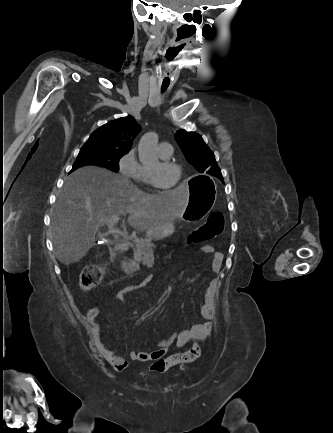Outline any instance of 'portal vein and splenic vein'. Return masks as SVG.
<instances>
[{
	"label": "portal vein and splenic vein",
	"instance_id": "portal-vein-and-splenic-vein-1",
	"mask_svg": "<svg viewBox=\"0 0 333 433\" xmlns=\"http://www.w3.org/2000/svg\"><path fill=\"white\" fill-rule=\"evenodd\" d=\"M120 220V216H115L114 218L108 219L105 221V223L110 227V232L114 233V234H118L120 236L125 237L126 236V232L125 231H121L119 229H115L114 225ZM134 241H139L138 238H135ZM129 244V241L127 240H123L120 244H117V246H127Z\"/></svg>",
	"mask_w": 333,
	"mask_h": 433
}]
</instances>
